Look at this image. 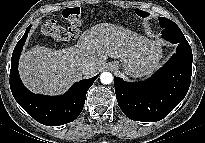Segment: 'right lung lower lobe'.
I'll use <instances>...</instances> for the list:
<instances>
[{"label": "right lung lower lobe", "instance_id": "98d812e1", "mask_svg": "<svg viewBox=\"0 0 205 143\" xmlns=\"http://www.w3.org/2000/svg\"><path fill=\"white\" fill-rule=\"evenodd\" d=\"M31 26L16 44L10 70V88L17 103L36 121L47 126H58L74 121L81 113L86 93L98 75L75 83L62 96H44L33 94L21 82L18 73V61Z\"/></svg>", "mask_w": 205, "mask_h": 143}]
</instances>
